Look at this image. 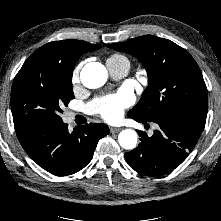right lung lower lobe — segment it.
<instances>
[{
    "label": "right lung lower lobe",
    "mask_w": 221,
    "mask_h": 221,
    "mask_svg": "<svg viewBox=\"0 0 221 221\" xmlns=\"http://www.w3.org/2000/svg\"><path fill=\"white\" fill-rule=\"evenodd\" d=\"M19 142L40 167L66 176L83 169L92 159L98 141L109 134L103 123H90L68 131V125L33 126L16 132Z\"/></svg>",
    "instance_id": "right-lung-lower-lobe-1"
}]
</instances>
